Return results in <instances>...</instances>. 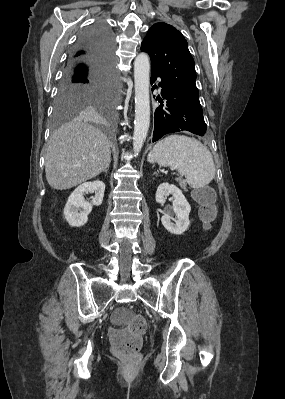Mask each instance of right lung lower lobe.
Wrapping results in <instances>:
<instances>
[{
    "mask_svg": "<svg viewBox=\"0 0 285 399\" xmlns=\"http://www.w3.org/2000/svg\"><path fill=\"white\" fill-rule=\"evenodd\" d=\"M82 49L88 53L76 57V53ZM114 50L111 28L105 23L91 26L83 32L76 50L71 54L64 79L88 85L114 83Z\"/></svg>",
    "mask_w": 285,
    "mask_h": 399,
    "instance_id": "98d812e1",
    "label": "right lung lower lobe"
}]
</instances>
